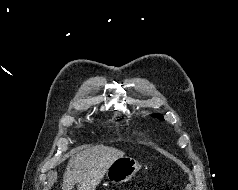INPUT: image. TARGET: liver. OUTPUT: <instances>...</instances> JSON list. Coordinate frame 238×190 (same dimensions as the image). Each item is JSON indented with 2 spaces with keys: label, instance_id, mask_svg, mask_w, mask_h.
<instances>
[{
  "label": "liver",
  "instance_id": "obj_1",
  "mask_svg": "<svg viewBox=\"0 0 238 190\" xmlns=\"http://www.w3.org/2000/svg\"><path fill=\"white\" fill-rule=\"evenodd\" d=\"M124 152L103 145L87 148L72 156L63 176L62 190H95L103 179L107 169Z\"/></svg>",
  "mask_w": 238,
  "mask_h": 190
}]
</instances>
